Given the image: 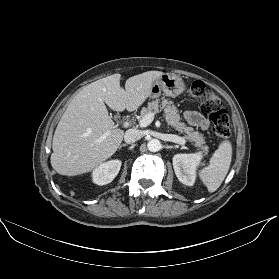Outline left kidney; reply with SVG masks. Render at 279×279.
<instances>
[{
    "mask_svg": "<svg viewBox=\"0 0 279 279\" xmlns=\"http://www.w3.org/2000/svg\"><path fill=\"white\" fill-rule=\"evenodd\" d=\"M202 160L200 152L194 154H176L173 157V168L178 180L192 186L196 181V169Z\"/></svg>",
    "mask_w": 279,
    "mask_h": 279,
    "instance_id": "left-kidney-1",
    "label": "left kidney"
}]
</instances>
